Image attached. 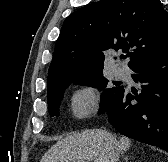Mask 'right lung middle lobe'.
I'll list each match as a JSON object with an SVG mask.
<instances>
[{"label":"right lung middle lobe","instance_id":"dd1d6c3e","mask_svg":"<svg viewBox=\"0 0 168 162\" xmlns=\"http://www.w3.org/2000/svg\"><path fill=\"white\" fill-rule=\"evenodd\" d=\"M74 82H79L81 84L97 87L100 90H103V93L101 94L99 114L108 110L118 93L123 88V86L120 85H116L112 88H106L108 80L104 78L103 71L91 72L77 78L54 82L48 86L47 90L48 111L51 117L59 116V107L64 95V90L70 85V83Z\"/></svg>","mask_w":168,"mask_h":162}]
</instances>
